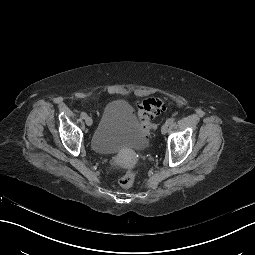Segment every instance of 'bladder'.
<instances>
[{
	"label": "bladder",
	"instance_id": "obj_1",
	"mask_svg": "<svg viewBox=\"0 0 255 255\" xmlns=\"http://www.w3.org/2000/svg\"><path fill=\"white\" fill-rule=\"evenodd\" d=\"M118 124L126 130L119 131ZM91 144L93 151L108 154L123 148L147 147L148 141L141 124L134 118L131 105L125 100H114L107 104Z\"/></svg>",
	"mask_w": 255,
	"mask_h": 255
}]
</instances>
